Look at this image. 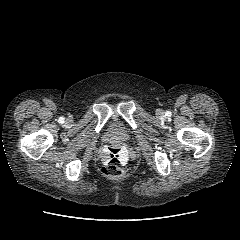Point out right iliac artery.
<instances>
[{
    "label": "right iliac artery",
    "mask_w": 240,
    "mask_h": 240,
    "mask_svg": "<svg viewBox=\"0 0 240 240\" xmlns=\"http://www.w3.org/2000/svg\"><path fill=\"white\" fill-rule=\"evenodd\" d=\"M60 121L63 122V121H64V118H60Z\"/></svg>",
    "instance_id": "1"
}]
</instances>
